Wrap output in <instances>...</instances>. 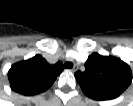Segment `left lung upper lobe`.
Masks as SVG:
<instances>
[{
  "mask_svg": "<svg viewBox=\"0 0 133 106\" xmlns=\"http://www.w3.org/2000/svg\"><path fill=\"white\" fill-rule=\"evenodd\" d=\"M84 72L75 77L85 95L94 100H110L123 93L132 81L130 67L113 56L90 55Z\"/></svg>",
  "mask_w": 133,
  "mask_h": 106,
  "instance_id": "left-lung-upper-lobe-1",
  "label": "left lung upper lobe"
}]
</instances>
